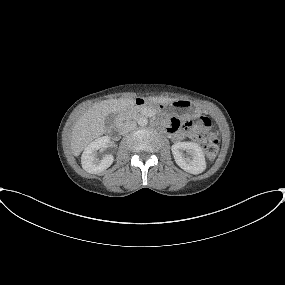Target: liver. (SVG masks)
Listing matches in <instances>:
<instances>
[{"label": "liver", "mask_w": 285, "mask_h": 285, "mask_svg": "<svg viewBox=\"0 0 285 285\" xmlns=\"http://www.w3.org/2000/svg\"><path fill=\"white\" fill-rule=\"evenodd\" d=\"M154 103H170L175 99L151 98ZM134 104L132 98L104 100L94 104L75 123L71 133V150L79 156L88 144L105 132V117L110 113L123 111Z\"/></svg>", "instance_id": "liver-1"}]
</instances>
